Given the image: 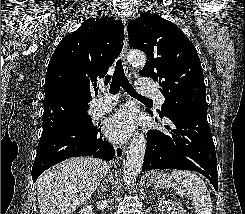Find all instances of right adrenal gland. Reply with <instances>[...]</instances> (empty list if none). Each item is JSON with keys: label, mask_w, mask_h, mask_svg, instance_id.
<instances>
[{"label": "right adrenal gland", "mask_w": 245, "mask_h": 214, "mask_svg": "<svg viewBox=\"0 0 245 214\" xmlns=\"http://www.w3.org/2000/svg\"><path fill=\"white\" fill-rule=\"evenodd\" d=\"M109 174H110L111 184L113 185L112 172L110 171ZM102 190H103V191H106V190H107V187L102 186Z\"/></svg>", "instance_id": "2a0ac1e0"}]
</instances>
